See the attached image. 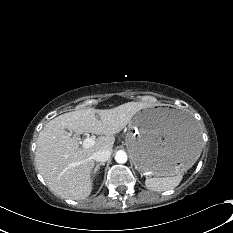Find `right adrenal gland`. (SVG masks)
Segmentation results:
<instances>
[{
    "mask_svg": "<svg viewBox=\"0 0 233 233\" xmlns=\"http://www.w3.org/2000/svg\"><path fill=\"white\" fill-rule=\"evenodd\" d=\"M104 165H105V163H99V164H97L96 167L94 168L93 174H96L98 172L100 166H104Z\"/></svg>",
    "mask_w": 233,
    "mask_h": 233,
    "instance_id": "right-adrenal-gland-1",
    "label": "right adrenal gland"
}]
</instances>
